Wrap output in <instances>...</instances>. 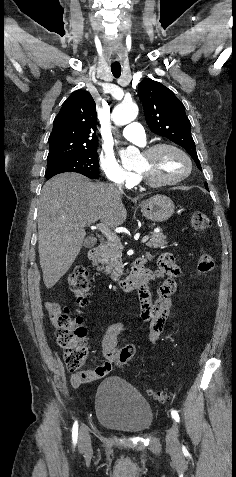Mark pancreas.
<instances>
[{"label":"pancreas","instance_id":"cf45deb5","mask_svg":"<svg viewBox=\"0 0 236 477\" xmlns=\"http://www.w3.org/2000/svg\"><path fill=\"white\" fill-rule=\"evenodd\" d=\"M167 244L166 236L162 233H151L149 242L146 245L150 248H162ZM122 245L119 240L110 241L100 246L98 251V259L94 261V265L98 266V270H103L113 280L123 275V266L121 262Z\"/></svg>","mask_w":236,"mask_h":477}]
</instances>
